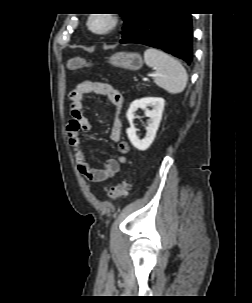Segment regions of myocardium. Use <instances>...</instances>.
Segmentation results:
<instances>
[{
  "mask_svg": "<svg viewBox=\"0 0 252 303\" xmlns=\"http://www.w3.org/2000/svg\"><path fill=\"white\" fill-rule=\"evenodd\" d=\"M118 24L119 18L117 15L110 13L91 14L86 21L87 28L97 35L110 33Z\"/></svg>",
  "mask_w": 252,
  "mask_h": 303,
  "instance_id": "myocardium-1",
  "label": "myocardium"
}]
</instances>
